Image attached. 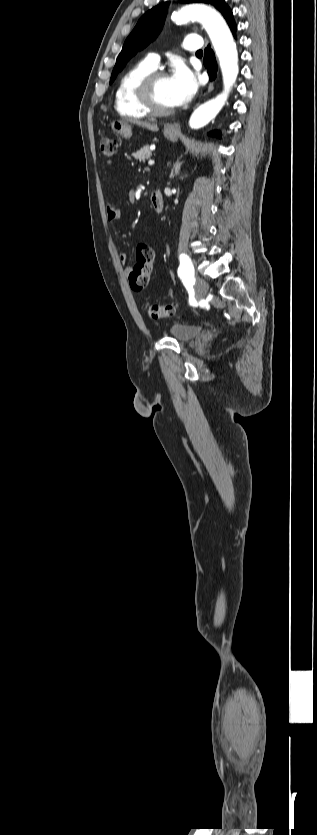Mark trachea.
Here are the masks:
<instances>
[{
    "mask_svg": "<svg viewBox=\"0 0 317 835\" xmlns=\"http://www.w3.org/2000/svg\"><path fill=\"white\" fill-rule=\"evenodd\" d=\"M196 54H197V55H202V54H203V52H202V50H199V51H197V52H196Z\"/></svg>",
    "mask_w": 317,
    "mask_h": 835,
    "instance_id": "trachea-1",
    "label": "trachea"
}]
</instances>
